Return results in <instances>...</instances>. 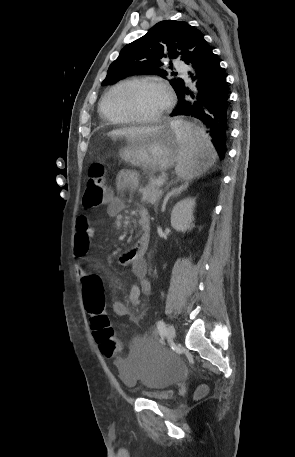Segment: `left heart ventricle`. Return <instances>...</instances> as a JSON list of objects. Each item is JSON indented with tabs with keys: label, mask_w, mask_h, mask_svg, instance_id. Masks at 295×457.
Wrapping results in <instances>:
<instances>
[{
	"label": "left heart ventricle",
	"mask_w": 295,
	"mask_h": 457,
	"mask_svg": "<svg viewBox=\"0 0 295 457\" xmlns=\"http://www.w3.org/2000/svg\"><path fill=\"white\" fill-rule=\"evenodd\" d=\"M134 110L144 117L159 114L167 104L164 89L158 86H147L136 90L132 96Z\"/></svg>",
	"instance_id": "1"
}]
</instances>
